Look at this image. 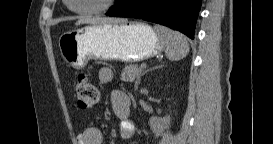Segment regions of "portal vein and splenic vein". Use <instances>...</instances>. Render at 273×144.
I'll use <instances>...</instances> for the list:
<instances>
[{"instance_id":"obj_1","label":"portal vein and splenic vein","mask_w":273,"mask_h":144,"mask_svg":"<svg viewBox=\"0 0 273 144\" xmlns=\"http://www.w3.org/2000/svg\"><path fill=\"white\" fill-rule=\"evenodd\" d=\"M141 68H146V64H145V63H142V64H141Z\"/></svg>"}]
</instances>
